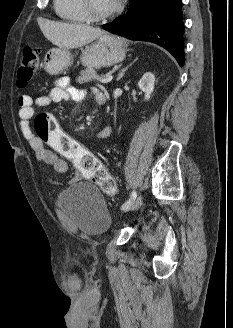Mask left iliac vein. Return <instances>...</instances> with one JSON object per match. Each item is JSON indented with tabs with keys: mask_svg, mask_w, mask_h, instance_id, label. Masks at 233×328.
I'll list each match as a JSON object with an SVG mask.
<instances>
[{
	"mask_svg": "<svg viewBox=\"0 0 233 328\" xmlns=\"http://www.w3.org/2000/svg\"><path fill=\"white\" fill-rule=\"evenodd\" d=\"M141 205H142V197L141 196H138L136 198V200H134L133 203L130 205V207L127 208L126 210H128V211H134L137 208H139Z\"/></svg>",
	"mask_w": 233,
	"mask_h": 328,
	"instance_id": "obj_1",
	"label": "left iliac vein"
}]
</instances>
